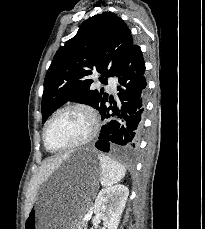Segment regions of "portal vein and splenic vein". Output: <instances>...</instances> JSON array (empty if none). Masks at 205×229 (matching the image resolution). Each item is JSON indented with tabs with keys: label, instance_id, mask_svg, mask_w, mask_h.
I'll return each mask as SVG.
<instances>
[{
	"label": "portal vein and splenic vein",
	"instance_id": "1",
	"mask_svg": "<svg viewBox=\"0 0 205 229\" xmlns=\"http://www.w3.org/2000/svg\"><path fill=\"white\" fill-rule=\"evenodd\" d=\"M88 218H89V216L88 215H85L84 219H88Z\"/></svg>",
	"mask_w": 205,
	"mask_h": 229
}]
</instances>
